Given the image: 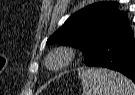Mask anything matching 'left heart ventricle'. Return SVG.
I'll return each instance as SVG.
<instances>
[{"label":"left heart ventricle","instance_id":"left-heart-ventricle-1","mask_svg":"<svg viewBox=\"0 0 135 95\" xmlns=\"http://www.w3.org/2000/svg\"><path fill=\"white\" fill-rule=\"evenodd\" d=\"M59 62V59H54L53 61H52V64H57Z\"/></svg>","mask_w":135,"mask_h":95}]
</instances>
